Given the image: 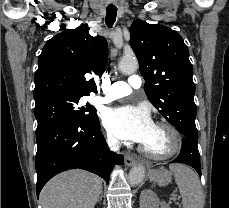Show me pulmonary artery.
<instances>
[{
	"label": "pulmonary artery",
	"mask_w": 229,
	"mask_h": 208,
	"mask_svg": "<svg viewBox=\"0 0 229 208\" xmlns=\"http://www.w3.org/2000/svg\"><path fill=\"white\" fill-rule=\"evenodd\" d=\"M142 86V78L139 75L131 73L126 81H117L110 88L106 98H100L101 101L115 100L132 93L133 89Z\"/></svg>",
	"instance_id": "1"
}]
</instances>
